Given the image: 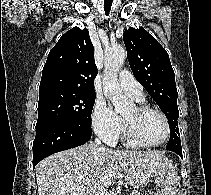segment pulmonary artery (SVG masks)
I'll return each instance as SVG.
<instances>
[{
    "mask_svg": "<svg viewBox=\"0 0 211 195\" xmlns=\"http://www.w3.org/2000/svg\"><path fill=\"white\" fill-rule=\"evenodd\" d=\"M121 88L127 93L130 97L137 101L144 99L143 87L141 84L133 77V75L127 71L123 70L119 73L118 77Z\"/></svg>",
    "mask_w": 211,
    "mask_h": 195,
    "instance_id": "1",
    "label": "pulmonary artery"
}]
</instances>
